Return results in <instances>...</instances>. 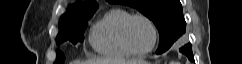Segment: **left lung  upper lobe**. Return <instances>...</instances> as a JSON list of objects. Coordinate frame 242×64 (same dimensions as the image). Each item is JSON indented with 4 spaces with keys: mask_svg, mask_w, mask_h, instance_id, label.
<instances>
[{
    "mask_svg": "<svg viewBox=\"0 0 242 64\" xmlns=\"http://www.w3.org/2000/svg\"><path fill=\"white\" fill-rule=\"evenodd\" d=\"M136 8L154 22L160 35L157 54L168 50L186 31L182 5L179 0H107Z\"/></svg>",
    "mask_w": 242,
    "mask_h": 64,
    "instance_id": "left-lung-upper-lobe-1",
    "label": "left lung upper lobe"
}]
</instances>
